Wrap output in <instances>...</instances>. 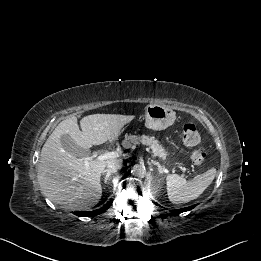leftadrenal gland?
Segmentation results:
<instances>
[{"mask_svg": "<svg viewBox=\"0 0 261 261\" xmlns=\"http://www.w3.org/2000/svg\"><path fill=\"white\" fill-rule=\"evenodd\" d=\"M151 163H152L153 165H156V166H157L159 174H162V173H163L162 166L159 164V162H156V161H154V160H151ZM159 182H160V181H159Z\"/></svg>", "mask_w": 261, "mask_h": 261, "instance_id": "1", "label": "left adrenal gland"}]
</instances>
